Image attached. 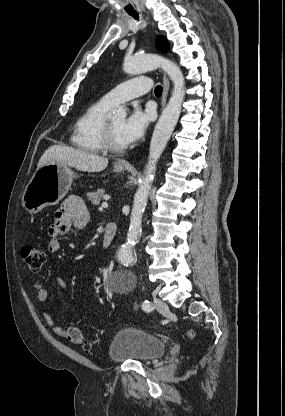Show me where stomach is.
<instances>
[{
	"label": "stomach",
	"instance_id": "obj_1",
	"mask_svg": "<svg viewBox=\"0 0 285 416\" xmlns=\"http://www.w3.org/2000/svg\"><path fill=\"white\" fill-rule=\"evenodd\" d=\"M125 166H114V172H124ZM127 170H132L127 166ZM76 178L74 172L59 162H49L33 174L22 196V206L29 214H37L46 206H55L66 196Z\"/></svg>",
	"mask_w": 285,
	"mask_h": 416
}]
</instances>
